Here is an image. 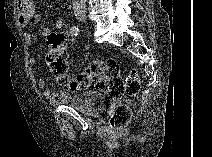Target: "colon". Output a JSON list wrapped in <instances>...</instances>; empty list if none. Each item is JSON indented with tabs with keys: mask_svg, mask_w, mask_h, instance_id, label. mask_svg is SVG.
<instances>
[{
	"mask_svg": "<svg viewBox=\"0 0 212 157\" xmlns=\"http://www.w3.org/2000/svg\"><path fill=\"white\" fill-rule=\"evenodd\" d=\"M72 42L70 36L63 34H50L47 38L46 63L59 84L70 90L93 86L113 97L135 96L139 93L141 82L138 74L129 71L122 77L115 60L93 62L82 73L71 75L67 53ZM130 119V109L126 105L117 104L110 118V126L113 129L122 128Z\"/></svg>",
	"mask_w": 212,
	"mask_h": 157,
	"instance_id": "colon-1",
	"label": "colon"
}]
</instances>
